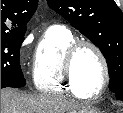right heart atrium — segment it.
I'll use <instances>...</instances> for the list:
<instances>
[{
  "mask_svg": "<svg viewBox=\"0 0 123 113\" xmlns=\"http://www.w3.org/2000/svg\"><path fill=\"white\" fill-rule=\"evenodd\" d=\"M25 45H26V43L24 42L23 46H25Z\"/></svg>",
  "mask_w": 123,
  "mask_h": 113,
  "instance_id": "obj_1",
  "label": "right heart atrium"
}]
</instances>
